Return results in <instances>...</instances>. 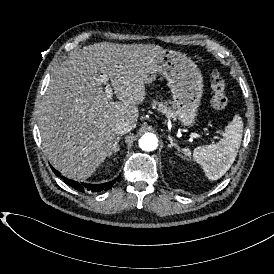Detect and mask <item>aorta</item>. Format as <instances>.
Here are the masks:
<instances>
[{
  "label": "aorta",
  "mask_w": 274,
  "mask_h": 274,
  "mask_svg": "<svg viewBox=\"0 0 274 274\" xmlns=\"http://www.w3.org/2000/svg\"><path fill=\"white\" fill-rule=\"evenodd\" d=\"M158 146V139L153 133H145L139 139V147L144 151H154Z\"/></svg>",
  "instance_id": "obj_1"
}]
</instances>
